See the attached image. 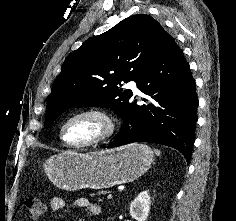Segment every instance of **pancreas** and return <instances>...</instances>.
<instances>
[{
  "label": "pancreas",
  "instance_id": "cf45deb5",
  "mask_svg": "<svg viewBox=\"0 0 236 221\" xmlns=\"http://www.w3.org/2000/svg\"><path fill=\"white\" fill-rule=\"evenodd\" d=\"M98 194H99V195H101V194H105V192L102 191V192H99Z\"/></svg>",
  "mask_w": 236,
  "mask_h": 221
}]
</instances>
